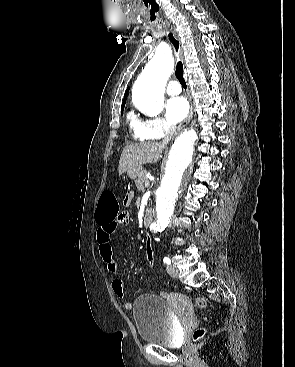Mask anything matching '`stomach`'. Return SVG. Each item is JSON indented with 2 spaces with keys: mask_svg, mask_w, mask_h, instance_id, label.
Here are the masks:
<instances>
[{
  "mask_svg": "<svg viewBox=\"0 0 295 367\" xmlns=\"http://www.w3.org/2000/svg\"><path fill=\"white\" fill-rule=\"evenodd\" d=\"M141 173H142V167L141 166L133 167V168H131L127 171V175L131 179H138L139 176L141 175Z\"/></svg>",
  "mask_w": 295,
  "mask_h": 367,
  "instance_id": "obj_1",
  "label": "stomach"
}]
</instances>
